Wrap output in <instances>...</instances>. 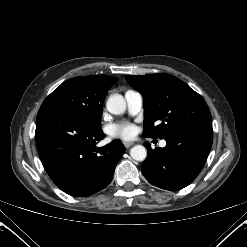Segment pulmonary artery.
Segmentation results:
<instances>
[{
	"instance_id": "obj_1",
	"label": "pulmonary artery",
	"mask_w": 247,
	"mask_h": 247,
	"mask_svg": "<svg viewBox=\"0 0 247 247\" xmlns=\"http://www.w3.org/2000/svg\"><path fill=\"white\" fill-rule=\"evenodd\" d=\"M125 100L129 114L136 115L141 111L143 106V96L141 93L134 90H128L125 93ZM159 145L160 147H165L166 141L162 140Z\"/></svg>"
}]
</instances>
